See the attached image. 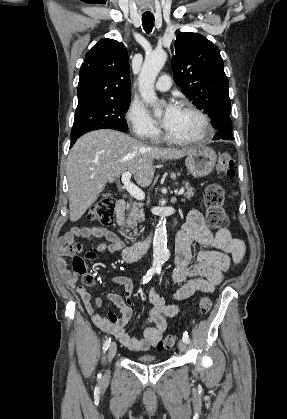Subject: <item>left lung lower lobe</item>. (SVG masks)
I'll return each mask as SVG.
<instances>
[{
    "instance_id": "left-lung-lower-lobe-1",
    "label": "left lung lower lobe",
    "mask_w": 287,
    "mask_h": 419,
    "mask_svg": "<svg viewBox=\"0 0 287 419\" xmlns=\"http://www.w3.org/2000/svg\"><path fill=\"white\" fill-rule=\"evenodd\" d=\"M234 140V137L232 135V127L230 123V118H228V121L218 129V132L214 136L213 140Z\"/></svg>"
}]
</instances>
